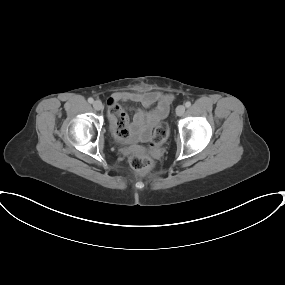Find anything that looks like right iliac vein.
I'll list each match as a JSON object with an SVG mask.
<instances>
[{"label":"right iliac vein","instance_id":"1","mask_svg":"<svg viewBox=\"0 0 285 285\" xmlns=\"http://www.w3.org/2000/svg\"><path fill=\"white\" fill-rule=\"evenodd\" d=\"M93 107L95 110H102L103 109V104L100 100H96L94 103H93Z\"/></svg>","mask_w":285,"mask_h":285}]
</instances>
